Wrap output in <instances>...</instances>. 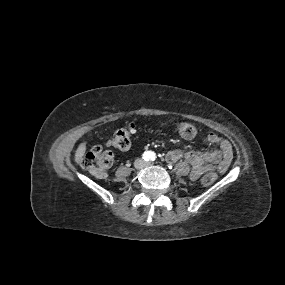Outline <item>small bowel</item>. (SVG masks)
<instances>
[{"label":"small bowel","instance_id":"1","mask_svg":"<svg viewBox=\"0 0 285 285\" xmlns=\"http://www.w3.org/2000/svg\"><path fill=\"white\" fill-rule=\"evenodd\" d=\"M206 141L211 145H217L219 150L209 152H198L190 149H174L166 154V160L175 163L181 159L186 160L192 166L191 176L198 178L208 169L216 168L224 173L229 168L233 153L230 142L214 133L206 137Z\"/></svg>","mask_w":285,"mask_h":285}]
</instances>
